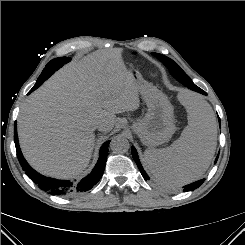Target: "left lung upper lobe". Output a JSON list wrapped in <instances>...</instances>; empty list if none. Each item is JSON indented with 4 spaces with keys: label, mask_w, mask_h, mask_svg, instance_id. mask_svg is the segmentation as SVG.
<instances>
[{
    "label": "left lung upper lobe",
    "mask_w": 245,
    "mask_h": 245,
    "mask_svg": "<svg viewBox=\"0 0 245 245\" xmlns=\"http://www.w3.org/2000/svg\"><path fill=\"white\" fill-rule=\"evenodd\" d=\"M152 54L168 67V69L170 70V72L174 77L180 76L187 83L194 84L190 79V77L173 60L159 53H152Z\"/></svg>",
    "instance_id": "obj_1"
}]
</instances>
